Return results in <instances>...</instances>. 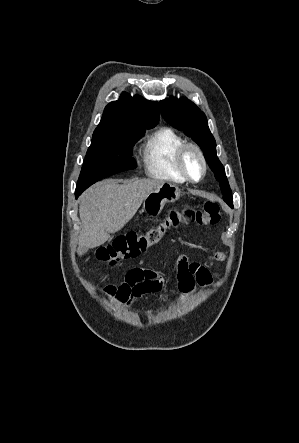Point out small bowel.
Returning <instances> with one entry per match:
<instances>
[{
    "instance_id": "obj_1",
    "label": "small bowel",
    "mask_w": 299,
    "mask_h": 443,
    "mask_svg": "<svg viewBox=\"0 0 299 443\" xmlns=\"http://www.w3.org/2000/svg\"><path fill=\"white\" fill-rule=\"evenodd\" d=\"M211 259L222 261L224 254L218 252ZM176 278L181 294L186 297L191 294L196 284L207 287L212 281L211 272L202 264L191 262L186 255H179L176 262ZM163 276L152 269L134 268L119 284L106 288V293L115 300L128 307H132L136 300L146 294H155L164 287Z\"/></svg>"
}]
</instances>
